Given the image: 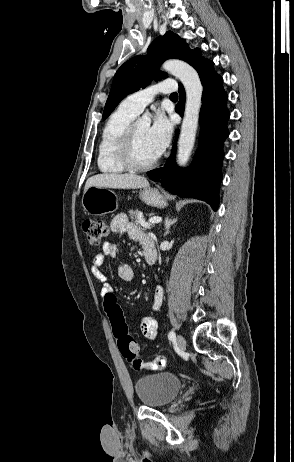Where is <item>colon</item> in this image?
Returning <instances> with one entry per match:
<instances>
[{"mask_svg": "<svg viewBox=\"0 0 294 462\" xmlns=\"http://www.w3.org/2000/svg\"><path fill=\"white\" fill-rule=\"evenodd\" d=\"M82 229L88 244L91 246H98L108 234V225L103 220L86 219L82 223ZM103 307L110 320L113 334L117 339L122 355L132 368L142 369L143 360L138 354L137 344L129 334L122 310L113 293L104 298Z\"/></svg>", "mask_w": 294, "mask_h": 462, "instance_id": "obj_1", "label": "colon"}]
</instances>
